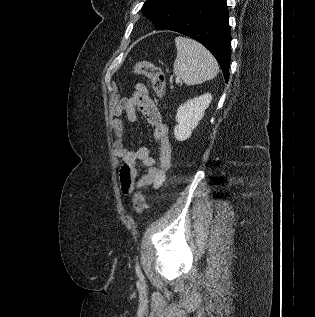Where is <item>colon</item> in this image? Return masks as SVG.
Wrapping results in <instances>:
<instances>
[{
    "instance_id": "colon-1",
    "label": "colon",
    "mask_w": 315,
    "mask_h": 317,
    "mask_svg": "<svg viewBox=\"0 0 315 317\" xmlns=\"http://www.w3.org/2000/svg\"><path fill=\"white\" fill-rule=\"evenodd\" d=\"M134 72L138 75L146 77L150 83L154 94L162 99L165 90V77L161 68L149 61H139L134 65ZM134 211L141 214L146 208L145 195L141 190L134 193L133 200Z\"/></svg>"
}]
</instances>
